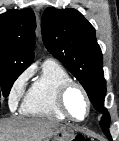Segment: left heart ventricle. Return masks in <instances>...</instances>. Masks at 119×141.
<instances>
[{"instance_id": "b2bd125f", "label": "left heart ventricle", "mask_w": 119, "mask_h": 141, "mask_svg": "<svg viewBox=\"0 0 119 141\" xmlns=\"http://www.w3.org/2000/svg\"><path fill=\"white\" fill-rule=\"evenodd\" d=\"M66 104L70 114L74 118L81 119L85 116L87 105L79 89L73 88L69 91L66 98Z\"/></svg>"}]
</instances>
